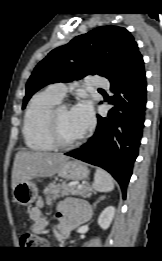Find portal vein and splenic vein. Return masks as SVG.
Here are the masks:
<instances>
[{
    "label": "portal vein and splenic vein",
    "instance_id": "portal-vein-and-splenic-vein-1",
    "mask_svg": "<svg viewBox=\"0 0 162 261\" xmlns=\"http://www.w3.org/2000/svg\"><path fill=\"white\" fill-rule=\"evenodd\" d=\"M77 188H78V189H81V188H82V185H81V184H79V185L77 186Z\"/></svg>",
    "mask_w": 162,
    "mask_h": 261
}]
</instances>
